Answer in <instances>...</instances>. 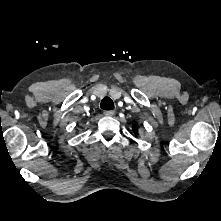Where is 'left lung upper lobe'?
Here are the masks:
<instances>
[{"instance_id":"5c2ea615","label":"left lung upper lobe","mask_w":221,"mask_h":221,"mask_svg":"<svg viewBox=\"0 0 221 221\" xmlns=\"http://www.w3.org/2000/svg\"><path fill=\"white\" fill-rule=\"evenodd\" d=\"M133 131H134V133H137V127L136 126H133Z\"/></svg>"}]
</instances>
